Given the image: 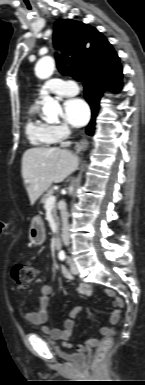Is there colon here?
Returning <instances> with one entry per match:
<instances>
[{"label":"colon","mask_w":145,"mask_h":385,"mask_svg":"<svg viewBox=\"0 0 145 385\" xmlns=\"http://www.w3.org/2000/svg\"><path fill=\"white\" fill-rule=\"evenodd\" d=\"M12 277L20 287H27L34 277V268L27 263H17L12 269ZM116 328L112 327L110 334L100 343L96 352V362L101 363L111 348L112 336Z\"/></svg>","instance_id":"5ec220e1"}]
</instances>
